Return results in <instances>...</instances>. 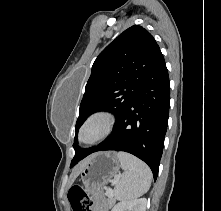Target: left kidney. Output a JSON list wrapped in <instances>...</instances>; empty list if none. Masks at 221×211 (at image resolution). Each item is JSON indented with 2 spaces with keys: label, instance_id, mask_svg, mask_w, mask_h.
<instances>
[{
  "label": "left kidney",
  "instance_id": "left-kidney-1",
  "mask_svg": "<svg viewBox=\"0 0 221 211\" xmlns=\"http://www.w3.org/2000/svg\"><path fill=\"white\" fill-rule=\"evenodd\" d=\"M146 206V198L123 200L117 203L111 211H146Z\"/></svg>",
  "mask_w": 221,
  "mask_h": 211
}]
</instances>
